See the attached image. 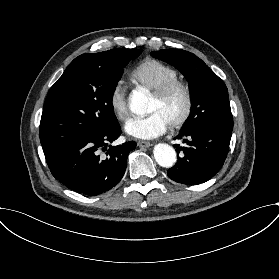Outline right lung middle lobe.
<instances>
[{"label":"right lung middle lobe","instance_id":"obj_1","mask_svg":"<svg viewBox=\"0 0 279 279\" xmlns=\"http://www.w3.org/2000/svg\"><path fill=\"white\" fill-rule=\"evenodd\" d=\"M142 49H116L98 58L83 54L75 58L51 87L40 122L44 154L77 138L91 137L118 123L112 98L131 59Z\"/></svg>","mask_w":279,"mask_h":279}]
</instances>
